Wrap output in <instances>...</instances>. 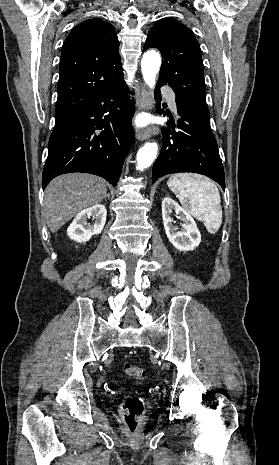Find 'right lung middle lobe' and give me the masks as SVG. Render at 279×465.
Segmentation results:
<instances>
[{
    "label": "right lung middle lobe",
    "mask_w": 279,
    "mask_h": 465,
    "mask_svg": "<svg viewBox=\"0 0 279 465\" xmlns=\"http://www.w3.org/2000/svg\"><path fill=\"white\" fill-rule=\"evenodd\" d=\"M60 126H61V125H55L54 130H53V132H52V134H51L50 139H51L52 136L60 129Z\"/></svg>",
    "instance_id": "dd1d6c3e"
}]
</instances>
